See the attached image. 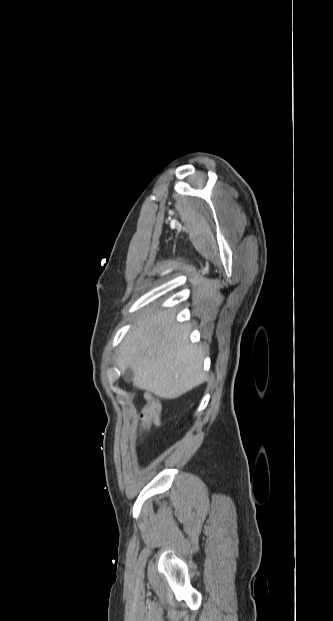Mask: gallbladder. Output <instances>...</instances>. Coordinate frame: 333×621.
Instances as JSON below:
<instances>
[{
    "label": "gallbladder",
    "mask_w": 333,
    "mask_h": 621,
    "mask_svg": "<svg viewBox=\"0 0 333 621\" xmlns=\"http://www.w3.org/2000/svg\"><path fill=\"white\" fill-rule=\"evenodd\" d=\"M133 376H134V373H133V371H132L131 369H127V370H125V371L123 372V379H124L126 382H131V381H132V379H133Z\"/></svg>",
    "instance_id": "bac80fb5"
}]
</instances>
